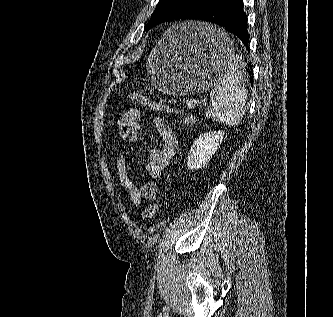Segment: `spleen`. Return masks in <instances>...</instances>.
Wrapping results in <instances>:
<instances>
[{"label": "spleen", "instance_id": "1", "mask_svg": "<svg viewBox=\"0 0 333 317\" xmlns=\"http://www.w3.org/2000/svg\"><path fill=\"white\" fill-rule=\"evenodd\" d=\"M210 38L216 47L226 45L229 55L226 69L210 93L211 104L205 111V116L233 126L241 121L247 101L242 60L232 53V42L222 29L214 26Z\"/></svg>", "mask_w": 333, "mask_h": 317}]
</instances>
